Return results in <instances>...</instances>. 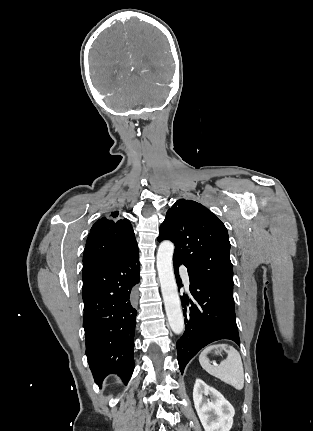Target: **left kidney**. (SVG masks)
Wrapping results in <instances>:
<instances>
[{
  "instance_id": "1",
  "label": "left kidney",
  "mask_w": 313,
  "mask_h": 431,
  "mask_svg": "<svg viewBox=\"0 0 313 431\" xmlns=\"http://www.w3.org/2000/svg\"><path fill=\"white\" fill-rule=\"evenodd\" d=\"M193 401L205 431H230L235 410L220 392L196 379Z\"/></svg>"
}]
</instances>
